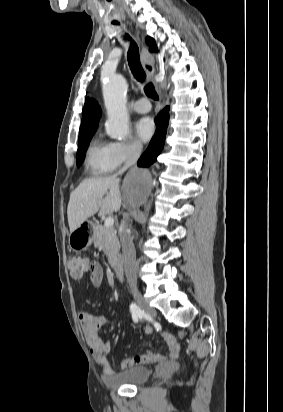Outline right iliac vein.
Instances as JSON below:
<instances>
[{"instance_id": "right-iliac-vein-1", "label": "right iliac vein", "mask_w": 283, "mask_h": 412, "mask_svg": "<svg viewBox=\"0 0 283 412\" xmlns=\"http://www.w3.org/2000/svg\"><path fill=\"white\" fill-rule=\"evenodd\" d=\"M132 295L134 297V299L136 300V302L138 303V305L145 310L151 317L155 318L157 313L155 311L154 308L150 307L145 299L143 298V296L141 295V293L139 292L138 289H132Z\"/></svg>"}]
</instances>
